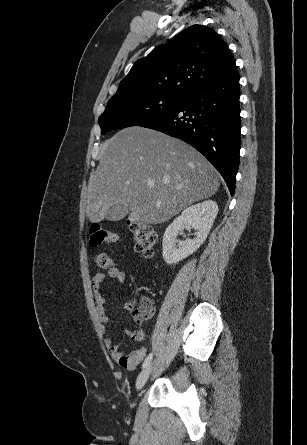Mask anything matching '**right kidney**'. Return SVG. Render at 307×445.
<instances>
[{
	"label": "right kidney",
	"mask_w": 307,
	"mask_h": 445,
	"mask_svg": "<svg viewBox=\"0 0 307 445\" xmlns=\"http://www.w3.org/2000/svg\"><path fill=\"white\" fill-rule=\"evenodd\" d=\"M217 212L218 204L215 200H204V202H198V204H192L185 208L181 216H177L164 233L162 251L164 261L168 265H174L195 253L207 239ZM185 227L195 229V239L177 241L176 237L179 231H183Z\"/></svg>",
	"instance_id": "1"
}]
</instances>
